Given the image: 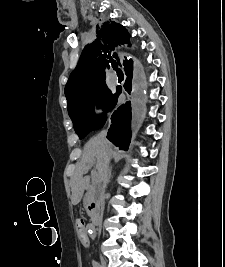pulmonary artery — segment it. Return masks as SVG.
<instances>
[{
    "mask_svg": "<svg viewBox=\"0 0 225 267\" xmlns=\"http://www.w3.org/2000/svg\"><path fill=\"white\" fill-rule=\"evenodd\" d=\"M111 81L114 83L118 82V77L114 72L111 73Z\"/></svg>",
    "mask_w": 225,
    "mask_h": 267,
    "instance_id": "1",
    "label": "pulmonary artery"
}]
</instances>
